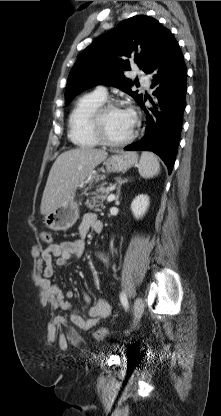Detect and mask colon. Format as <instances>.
<instances>
[{
	"mask_svg": "<svg viewBox=\"0 0 221 416\" xmlns=\"http://www.w3.org/2000/svg\"><path fill=\"white\" fill-rule=\"evenodd\" d=\"M41 238L45 244L52 243V234L49 231H43ZM93 336L97 340H104L110 336V332L107 329L100 328L93 333Z\"/></svg>",
	"mask_w": 221,
	"mask_h": 416,
	"instance_id": "5ec220e1",
	"label": "colon"
}]
</instances>
